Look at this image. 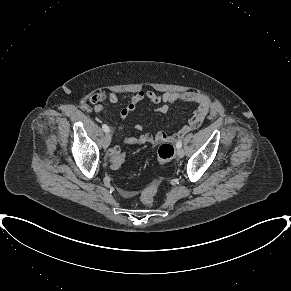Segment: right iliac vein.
I'll use <instances>...</instances> for the list:
<instances>
[{
  "instance_id": "obj_1",
  "label": "right iliac vein",
  "mask_w": 291,
  "mask_h": 291,
  "mask_svg": "<svg viewBox=\"0 0 291 291\" xmlns=\"http://www.w3.org/2000/svg\"><path fill=\"white\" fill-rule=\"evenodd\" d=\"M111 142V135L110 133L107 132V134L105 135L104 139H103V147L106 149Z\"/></svg>"
}]
</instances>
